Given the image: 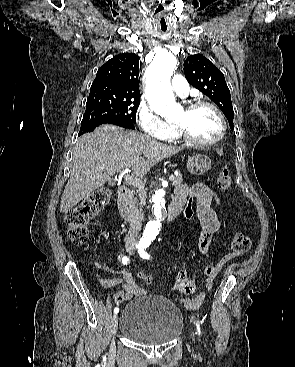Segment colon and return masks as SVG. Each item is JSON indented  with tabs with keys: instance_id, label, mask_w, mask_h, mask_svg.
<instances>
[{
	"instance_id": "obj_1",
	"label": "colon",
	"mask_w": 295,
	"mask_h": 367,
	"mask_svg": "<svg viewBox=\"0 0 295 367\" xmlns=\"http://www.w3.org/2000/svg\"><path fill=\"white\" fill-rule=\"evenodd\" d=\"M216 183L220 190H228L231 187V176L226 167L219 172ZM110 197V190L106 188L97 189L66 213L65 223L68 227V237L72 243L78 246L86 244L89 237V223L108 204ZM222 197V194H216L213 198V205H223ZM195 200L194 195H189L187 203L182 208L187 220L195 211L193 206ZM250 246L251 242L247 234L237 232L232 241L231 252L224 256L217 266L222 269L231 260L242 257L249 251ZM139 277L146 284H150L152 281V276L147 273H140Z\"/></svg>"
}]
</instances>
